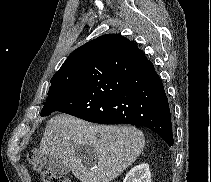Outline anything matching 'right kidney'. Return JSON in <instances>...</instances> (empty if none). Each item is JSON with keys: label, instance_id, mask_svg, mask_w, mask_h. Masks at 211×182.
<instances>
[{"label": "right kidney", "instance_id": "obj_1", "mask_svg": "<svg viewBox=\"0 0 211 182\" xmlns=\"http://www.w3.org/2000/svg\"><path fill=\"white\" fill-rule=\"evenodd\" d=\"M123 182H151V172L149 165L142 163L133 167L128 172Z\"/></svg>", "mask_w": 211, "mask_h": 182}]
</instances>
